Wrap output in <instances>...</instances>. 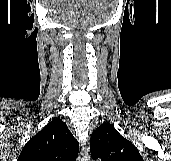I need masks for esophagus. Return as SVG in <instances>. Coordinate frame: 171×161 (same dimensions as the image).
<instances>
[{"instance_id": "esophagus-1", "label": "esophagus", "mask_w": 171, "mask_h": 161, "mask_svg": "<svg viewBox=\"0 0 171 161\" xmlns=\"http://www.w3.org/2000/svg\"><path fill=\"white\" fill-rule=\"evenodd\" d=\"M83 147V150L81 152V155L79 157V161H89L90 156H89V147H88V142H85Z\"/></svg>"}]
</instances>
